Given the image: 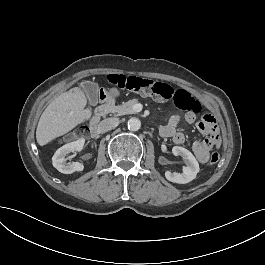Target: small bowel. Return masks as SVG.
Masks as SVG:
<instances>
[{
	"label": "small bowel",
	"mask_w": 265,
	"mask_h": 265,
	"mask_svg": "<svg viewBox=\"0 0 265 265\" xmlns=\"http://www.w3.org/2000/svg\"><path fill=\"white\" fill-rule=\"evenodd\" d=\"M185 119L190 124L195 122V116L192 113L186 114ZM179 123V116H171L168 122L160 128L161 136L171 138L176 145H182L186 138L185 135L177 129ZM202 123L203 121L198 123L197 129L200 134L206 136V138L202 141H195L192 145V151L200 163H207L211 151L219 145V131L216 123L213 126L214 133H211L209 129L202 125Z\"/></svg>",
	"instance_id": "1"
}]
</instances>
